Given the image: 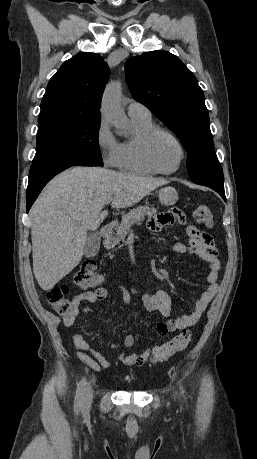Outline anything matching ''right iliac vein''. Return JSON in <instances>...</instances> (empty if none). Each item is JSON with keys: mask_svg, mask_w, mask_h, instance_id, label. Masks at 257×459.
<instances>
[{"mask_svg": "<svg viewBox=\"0 0 257 459\" xmlns=\"http://www.w3.org/2000/svg\"><path fill=\"white\" fill-rule=\"evenodd\" d=\"M93 399V390L91 386H87L85 391H84V397H83V407L85 409L89 408Z\"/></svg>", "mask_w": 257, "mask_h": 459, "instance_id": "right-iliac-vein-1", "label": "right iliac vein"}]
</instances>
